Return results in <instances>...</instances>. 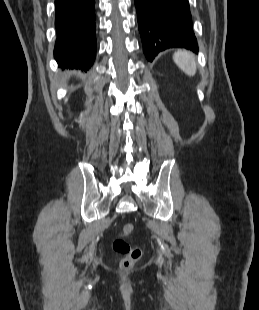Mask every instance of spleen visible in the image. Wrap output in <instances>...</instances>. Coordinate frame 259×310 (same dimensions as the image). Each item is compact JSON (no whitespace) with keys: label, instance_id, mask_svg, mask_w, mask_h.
I'll use <instances>...</instances> for the list:
<instances>
[{"label":"spleen","instance_id":"3e777b00","mask_svg":"<svg viewBox=\"0 0 259 310\" xmlns=\"http://www.w3.org/2000/svg\"><path fill=\"white\" fill-rule=\"evenodd\" d=\"M175 64L188 76H194L197 70L195 56L189 51H177L173 55Z\"/></svg>","mask_w":259,"mask_h":310}]
</instances>
